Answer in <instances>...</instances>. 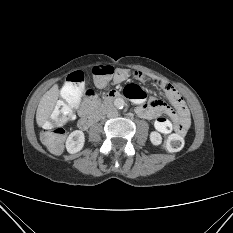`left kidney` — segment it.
I'll return each mask as SVG.
<instances>
[{"label":"left kidney","instance_id":"1","mask_svg":"<svg viewBox=\"0 0 233 233\" xmlns=\"http://www.w3.org/2000/svg\"><path fill=\"white\" fill-rule=\"evenodd\" d=\"M150 141L153 145L158 146L162 143V137L161 134L153 131L150 133Z\"/></svg>","mask_w":233,"mask_h":233}]
</instances>
